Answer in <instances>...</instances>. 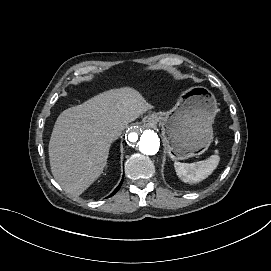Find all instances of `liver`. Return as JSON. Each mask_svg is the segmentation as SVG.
Masks as SVG:
<instances>
[{"label": "liver", "mask_w": 271, "mask_h": 271, "mask_svg": "<svg viewBox=\"0 0 271 271\" xmlns=\"http://www.w3.org/2000/svg\"><path fill=\"white\" fill-rule=\"evenodd\" d=\"M151 109L137 91L124 88L63 111L49 143L55 180L66 192L81 195L103 173L115 140L111 136Z\"/></svg>", "instance_id": "obj_1"}]
</instances>
